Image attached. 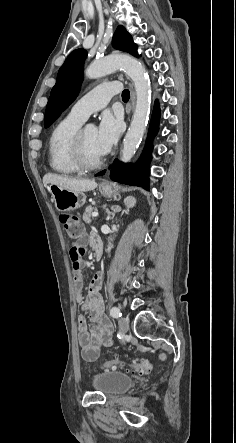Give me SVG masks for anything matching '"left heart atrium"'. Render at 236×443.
I'll list each match as a JSON object with an SVG mask.
<instances>
[{
    "instance_id": "39dd6f15",
    "label": "left heart atrium",
    "mask_w": 236,
    "mask_h": 443,
    "mask_svg": "<svg viewBox=\"0 0 236 443\" xmlns=\"http://www.w3.org/2000/svg\"><path fill=\"white\" fill-rule=\"evenodd\" d=\"M122 129L121 119L110 112L101 116L100 123L96 128L97 146L102 155L106 154L117 142Z\"/></svg>"
}]
</instances>
